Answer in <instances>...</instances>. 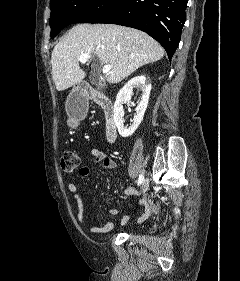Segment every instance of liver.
Segmentation results:
<instances>
[{"mask_svg": "<svg viewBox=\"0 0 240 281\" xmlns=\"http://www.w3.org/2000/svg\"><path fill=\"white\" fill-rule=\"evenodd\" d=\"M163 47L146 33L113 24H78L57 43L51 55L52 77L58 91L83 81L79 57L89 54L110 65L107 82L119 83L139 67L164 56Z\"/></svg>", "mask_w": 240, "mask_h": 281, "instance_id": "6515ba94", "label": "liver"}]
</instances>
